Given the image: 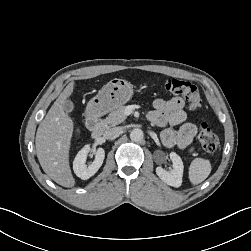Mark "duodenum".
<instances>
[{"label":"duodenum","mask_w":251,"mask_h":251,"mask_svg":"<svg viewBox=\"0 0 251 251\" xmlns=\"http://www.w3.org/2000/svg\"><path fill=\"white\" fill-rule=\"evenodd\" d=\"M87 127L94 139H98L104 132V125L102 123L100 114L96 110H91L87 117Z\"/></svg>","instance_id":"1"}]
</instances>
